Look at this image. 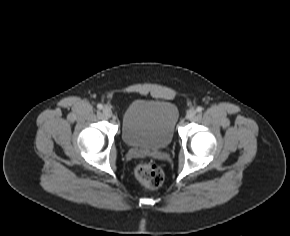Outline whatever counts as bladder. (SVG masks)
I'll return each instance as SVG.
<instances>
[{
	"label": "bladder",
	"mask_w": 290,
	"mask_h": 236,
	"mask_svg": "<svg viewBox=\"0 0 290 236\" xmlns=\"http://www.w3.org/2000/svg\"><path fill=\"white\" fill-rule=\"evenodd\" d=\"M178 113L167 101L138 100L124 112L122 139L133 148L160 150L173 140Z\"/></svg>",
	"instance_id": "obj_1"
}]
</instances>
